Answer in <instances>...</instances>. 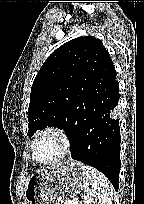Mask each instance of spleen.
<instances>
[{"mask_svg":"<svg viewBox=\"0 0 144 204\" xmlns=\"http://www.w3.org/2000/svg\"><path fill=\"white\" fill-rule=\"evenodd\" d=\"M86 182L84 186L85 204H111L113 187L108 179L93 167H85Z\"/></svg>","mask_w":144,"mask_h":204,"instance_id":"3e777b00","label":"spleen"}]
</instances>
